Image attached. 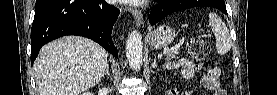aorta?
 <instances>
[{
	"label": "aorta",
	"instance_id": "obj_1",
	"mask_svg": "<svg viewBox=\"0 0 277 95\" xmlns=\"http://www.w3.org/2000/svg\"><path fill=\"white\" fill-rule=\"evenodd\" d=\"M126 56L129 65L135 70H139L143 63V43L142 36L137 30H133L127 38Z\"/></svg>",
	"mask_w": 277,
	"mask_h": 95
}]
</instances>
